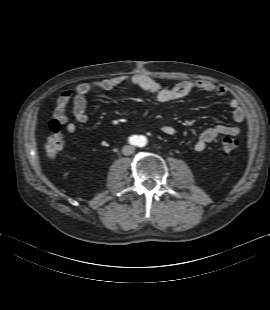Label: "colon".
<instances>
[{"label":"colon","mask_w":270,"mask_h":310,"mask_svg":"<svg viewBox=\"0 0 270 310\" xmlns=\"http://www.w3.org/2000/svg\"><path fill=\"white\" fill-rule=\"evenodd\" d=\"M49 136L45 142V152L49 157H56L64 147V137L61 131L60 122L53 118L49 122ZM237 147V141L226 137L221 141V149L224 152H231Z\"/></svg>","instance_id":"1"}]
</instances>
